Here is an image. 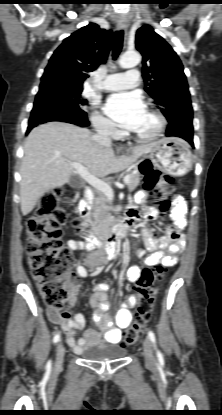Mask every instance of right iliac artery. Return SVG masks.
Returning a JSON list of instances; mask_svg holds the SVG:
<instances>
[{
  "mask_svg": "<svg viewBox=\"0 0 222 415\" xmlns=\"http://www.w3.org/2000/svg\"><path fill=\"white\" fill-rule=\"evenodd\" d=\"M60 340V334H56L53 338V342L56 344ZM51 367V361L49 360L47 363V368Z\"/></svg>",
  "mask_w": 222,
  "mask_h": 415,
  "instance_id": "1",
  "label": "right iliac artery"
}]
</instances>
